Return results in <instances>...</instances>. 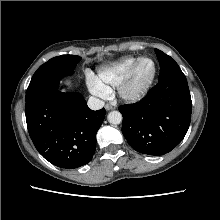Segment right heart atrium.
<instances>
[{
  "label": "right heart atrium",
  "instance_id": "right-heart-atrium-1",
  "mask_svg": "<svg viewBox=\"0 0 220 220\" xmlns=\"http://www.w3.org/2000/svg\"><path fill=\"white\" fill-rule=\"evenodd\" d=\"M89 88L94 95L99 97H105L109 93V91L93 77L89 78Z\"/></svg>",
  "mask_w": 220,
  "mask_h": 220
}]
</instances>
